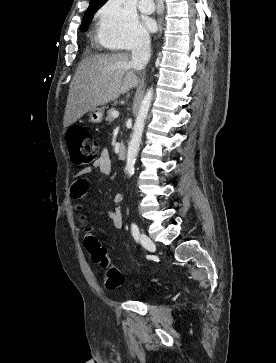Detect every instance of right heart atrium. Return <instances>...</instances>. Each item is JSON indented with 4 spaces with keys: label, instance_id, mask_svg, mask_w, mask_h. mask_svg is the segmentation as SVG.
<instances>
[{
    "label": "right heart atrium",
    "instance_id": "d8ad5b80",
    "mask_svg": "<svg viewBox=\"0 0 276 363\" xmlns=\"http://www.w3.org/2000/svg\"><path fill=\"white\" fill-rule=\"evenodd\" d=\"M100 40L119 49L147 43L148 35L133 8L125 0H108L98 13Z\"/></svg>",
    "mask_w": 276,
    "mask_h": 363
}]
</instances>
